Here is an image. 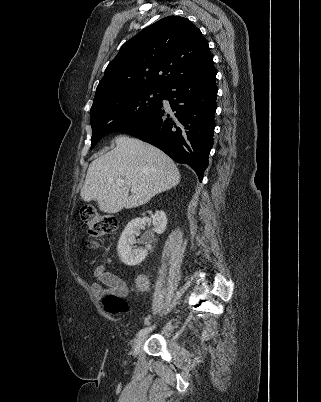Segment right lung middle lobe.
Returning a JSON list of instances; mask_svg holds the SVG:
<instances>
[{"mask_svg": "<svg viewBox=\"0 0 321 402\" xmlns=\"http://www.w3.org/2000/svg\"><path fill=\"white\" fill-rule=\"evenodd\" d=\"M164 89L152 88L124 93L92 105L90 122L93 148L108 133L133 123L157 110Z\"/></svg>", "mask_w": 321, "mask_h": 402, "instance_id": "obj_1", "label": "right lung middle lobe"}]
</instances>
